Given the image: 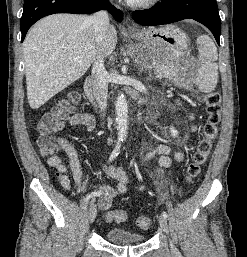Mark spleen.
<instances>
[{"label":"spleen","mask_w":247,"mask_h":257,"mask_svg":"<svg viewBox=\"0 0 247 257\" xmlns=\"http://www.w3.org/2000/svg\"><path fill=\"white\" fill-rule=\"evenodd\" d=\"M200 64L196 73V84L200 91L210 93L217 85L218 59L217 48L212 39L207 35L197 37Z\"/></svg>","instance_id":"spleen-1"}]
</instances>
